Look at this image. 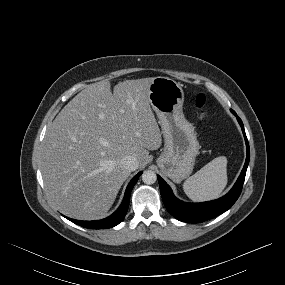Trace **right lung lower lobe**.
<instances>
[{
    "label": "right lung lower lobe",
    "instance_id": "1",
    "mask_svg": "<svg viewBox=\"0 0 285 285\" xmlns=\"http://www.w3.org/2000/svg\"><path fill=\"white\" fill-rule=\"evenodd\" d=\"M141 174L142 172H139L129 183L121 206L111 216L105 219H102V220H97V221H79V220L70 219L68 217L66 218L77 225H80L85 228H92V229H105V228H111V227L118 225L123 220V218L125 217L127 213L131 190L133 186L136 184Z\"/></svg>",
    "mask_w": 285,
    "mask_h": 285
}]
</instances>
